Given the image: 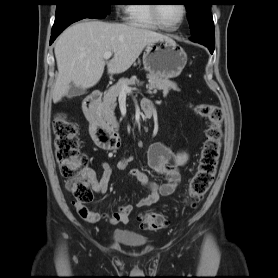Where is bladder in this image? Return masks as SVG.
I'll list each match as a JSON object with an SVG mask.
<instances>
[{
    "label": "bladder",
    "mask_w": 278,
    "mask_h": 278,
    "mask_svg": "<svg viewBox=\"0 0 278 278\" xmlns=\"http://www.w3.org/2000/svg\"><path fill=\"white\" fill-rule=\"evenodd\" d=\"M112 239L116 243L126 247H141L147 242L145 237L124 230L115 231L112 235Z\"/></svg>",
    "instance_id": "31cf9c89"
}]
</instances>
